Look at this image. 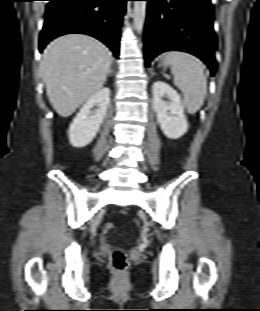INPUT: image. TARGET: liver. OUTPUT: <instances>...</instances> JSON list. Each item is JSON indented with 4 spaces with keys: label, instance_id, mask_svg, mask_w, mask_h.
<instances>
[{
    "label": "liver",
    "instance_id": "6515ba94",
    "mask_svg": "<svg viewBox=\"0 0 260 311\" xmlns=\"http://www.w3.org/2000/svg\"><path fill=\"white\" fill-rule=\"evenodd\" d=\"M112 58L97 39L68 34L55 39L44 51L40 72L55 111L68 117L104 85Z\"/></svg>",
    "mask_w": 260,
    "mask_h": 311
}]
</instances>
